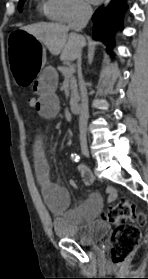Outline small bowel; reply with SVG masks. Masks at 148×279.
<instances>
[{
  "mask_svg": "<svg viewBox=\"0 0 148 279\" xmlns=\"http://www.w3.org/2000/svg\"><path fill=\"white\" fill-rule=\"evenodd\" d=\"M57 83L58 74L53 67L43 68L34 83L33 89L38 95L36 111L42 117L52 118L59 112L60 103L56 94ZM31 156L44 199L52 211L56 213L66 212L67 218L76 224L91 220L100 214L102 210V200L98 194L90 195L87 200L77 207L67 210L70 204V196L64 187L56 184L52 180L46 143L41 132H38L35 136ZM78 169L84 182L86 184L91 183L92 174L89 169L84 165H79ZM70 184L73 187L76 186L74 181H71ZM106 192L109 201L116 200L117 192L114 188L109 187Z\"/></svg>",
  "mask_w": 148,
  "mask_h": 279,
  "instance_id": "small-bowel-1",
  "label": "small bowel"
}]
</instances>
